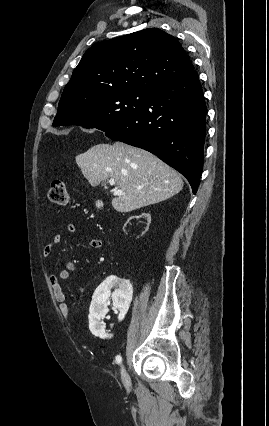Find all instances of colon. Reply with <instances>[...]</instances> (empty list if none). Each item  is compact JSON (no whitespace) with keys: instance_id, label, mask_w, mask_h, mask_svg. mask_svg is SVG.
<instances>
[{"instance_id":"colon-1","label":"colon","mask_w":269,"mask_h":426,"mask_svg":"<svg viewBox=\"0 0 269 426\" xmlns=\"http://www.w3.org/2000/svg\"><path fill=\"white\" fill-rule=\"evenodd\" d=\"M50 201L58 206H65L68 202V193L63 181H54L49 189Z\"/></svg>"}]
</instances>
